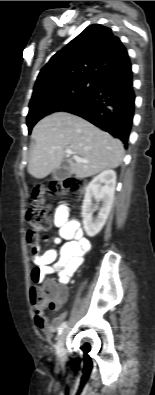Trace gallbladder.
<instances>
[{
	"label": "gallbladder",
	"instance_id": "1",
	"mask_svg": "<svg viewBox=\"0 0 155 395\" xmlns=\"http://www.w3.org/2000/svg\"><path fill=\"white\" fill-rule=\"evenodd\" d=\"M70 169L67 165H61L57 170L53 171V178L63 180L70 176Z\"/></svg>",
	"mask_w": 155,
	"mask_h": 395
}]
</instances>
